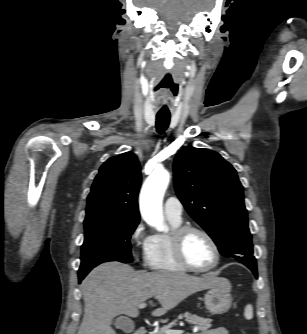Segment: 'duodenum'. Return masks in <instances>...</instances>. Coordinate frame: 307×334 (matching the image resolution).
Here are the masks:
<instances>
[{
  "label": "duodenum",
  "instance_id": "obj_1",
  "mask_svg": "<svg viewBox=\"0 0 307 334\" xmlns=\"http://www.w3.org/2000/svg\"><path fill=\"white\" fill-rule=\"evenodd\" d=\"M134 334H147V330L144 326L137 328Z\"/></svg>",
  "mask_w": 307,
  "mask_h": 334
}]
</instances>
